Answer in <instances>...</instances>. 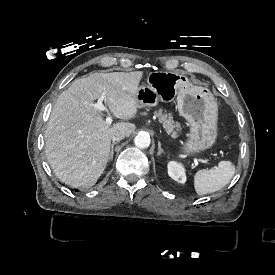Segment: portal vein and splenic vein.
<instances>
[{
  "label": "portal vein and splenic vein",
  "mask_w": 275,
  "mask_h": 275,
  "mask_svg": "<svg viewBox=\"0 0 275 275\" xmlns=\"http://www.w3.org/2000/svg\"><path fill=\"white\" fill-rule=\"evenodd\" d=\"M104 99H105V94H102V96L98 99V101H97L96 103L92 104V106H93L94 108H96L97 110H99V111H106V112H108L107 107L104 106V104H103V100H104ZM112 121H113V120H112L111 117H109V116L106 117V123H107V124H111ZM193 161H194V164H195V165H198V162H199V163H204V164H206V165H210V162L207 161V160H200V159H197V158H193Z\"/></svg>",
  "instance_id": "1"
}]
</instances>
